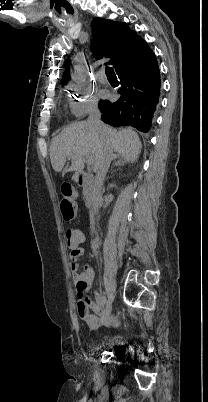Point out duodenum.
Listing matches in <instances>:
<instances>
[{
    "mask_svg": "<svg viewBox=\"0 0 208 402\" xmlns=\"http://www.w3.org/2000/svg\"><path fill=\"white\" fill-rule=\"evenodd\" d=\"M77 183L84 189V201L87 206H90L93 201V191H92V177L84 172L78 171L76 173Z\"/></svg>",
    "mask_w": 208,
    "mask_h": 402,
    "instance_id": "410a0bca",
    "label": "duodenum"
}]
</instances>
